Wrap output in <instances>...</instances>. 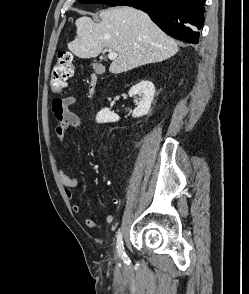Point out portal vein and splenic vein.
<instances>
[{"label": "portal vein and splenic vein", "instance_id": "1", "mask_svg": "<svg viewBox=\"0 0 249 294\" xmlns=\"http://www.w3.org/2000/svg\"><path fill=\"white\" fill-rule=\"evenodd\" d=\"M117 56H118L117 52L113 51L112 49H109L108 58L110 60H115Z\"/></svg>", "mask_w": 249, "mask_h": 294}]
</instances>
